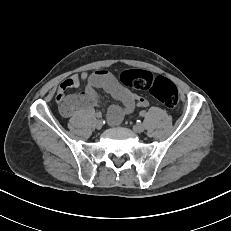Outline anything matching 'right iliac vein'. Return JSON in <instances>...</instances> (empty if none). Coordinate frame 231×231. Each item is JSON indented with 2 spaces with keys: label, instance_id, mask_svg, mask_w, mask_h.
<instances>
[{
  "label": "right iliac vein",
  "instance_id": "63e3f726",
  "mask_svg": "<svg viewBox=\"0 0 231 231\" xmlns=\"http://www.w3.org/2000/svg\"><path fill=\"white\" fill-rule=\"evenodd\" d=\"M95 127H96L97 129H101V128H102V123H101L100 120H96V121H95Z\"/></svg>",
  "mask_w": 231,
  "mask_h": 231
}]
</instances>
